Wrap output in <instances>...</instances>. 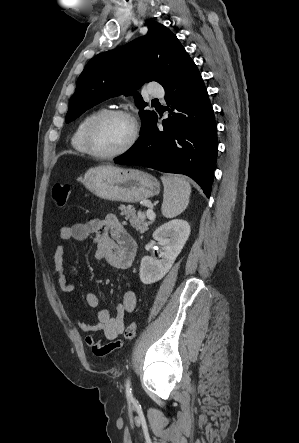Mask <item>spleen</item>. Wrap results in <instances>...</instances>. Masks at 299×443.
<instances>
[{
	"mask_svg": "<svg viewBox=\"0 0 299 443\" xmlns=\"http://www.w3.org/2000/svg\"><path fill=\"white\" fill-rule=\"evenodd\" d=\"M161 180L164 186L162 214L173 218L188 206L191 186L185 179L176 176H163Z\"/></svg>",
	"mask_w": 299,
	"mask_h": 443,
	"instance_id": "3e777b00",
	"label": "spleen"
}]
</instances>
